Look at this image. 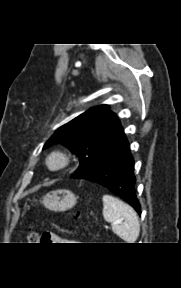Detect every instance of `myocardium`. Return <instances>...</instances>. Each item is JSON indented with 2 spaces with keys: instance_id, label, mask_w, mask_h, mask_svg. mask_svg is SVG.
Instances as JSON below:
<instances>
[{
  "instance_id": "1",
  "label": "myocardium",
  "mask_w": 181,
  "mask_h": 288,
  "mask_svg": "<svg viewBox=\"0 0 181 288\" xmlns=\"http://www.w3.org/2000/svg\"><path fill=\"white\" fill-rule=\"evenodd\" d=\"M72 163L70 153L62 149L50 151L44 160L45 167L48 171L58 173L66 170Z\"/></svg>"
}]
</instances>
